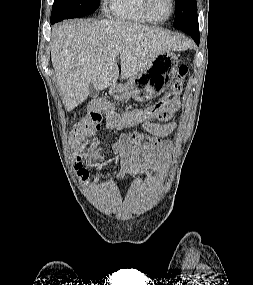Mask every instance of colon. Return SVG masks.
<instances>
[{
    "label": "colon",
    "instance_id": "5ec220e1",
    "mask_svg": "<svg viewBox=\"0 0 253 285\" xmlns=\"http://www.w3.org/2000/svg\"><path fill=\"white\" fill-rule=\"evenodd\" d=\"M188 74V66L182 64L178 68L177 76L165 97L156 104L146 109H136L119 113L113 107L102 101L93 102L88 109L87 115L79 122V126H73L71 144L75 150L68 154L69 158H74L71 168L73 176H79L80 180H85L91 172V168L96 165L93 155L94 141L97 140L98 132L103 119L107 122L108 128L130 127L140 124L144 120L159 118L164 108L169 106L181 93L184 80ZM78 155V158H76Z\"/></svg>",
    "mask_w": 253,
    "mask_h": 285
}]
</instances>
